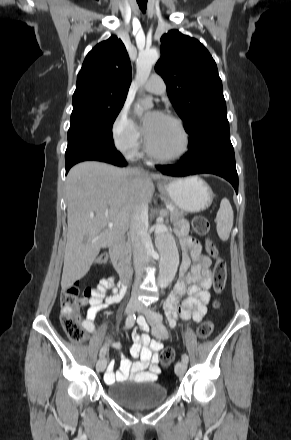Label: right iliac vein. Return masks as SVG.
Masks as SVG:
<instances>
[{
	"label": "right iliac vein",
	"instance_id": "1",
	"mask_svg": "<svg viewBox=\"0 0 291 440\" xmlns=\"http://www.w3.org/2000/svg\"><path fill=\"white\" fill-rule=\"evenodd\" d=\"M139 310V304L135 300H130L126 307V313L131 314L135 311ZM107 361L105 358H100L96 363V369L100 372H103L106 368Z\"/></svg>",
	"mask_w": 291,
	"mask_h": 440
}]
</instances>
